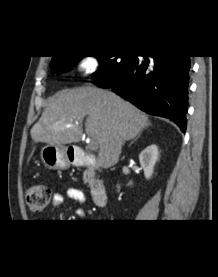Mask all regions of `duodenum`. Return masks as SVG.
<instances>
[{"instance_id": "duodenum-1", "label": "duodenum", "mask_w": 218, "mask_h": 277, "mask_svg": "<svg viewBox=\"0 0 218 277\" xmlns=\"http://www.w3.org/2000/svg\"><path fill=\"white\" fill-rule=\"evenodd\" d=\"M68 158L72 162V164H75L76 166L81 168L86 167L89 169H93L97 164L95 158L82 150H72V152L68 153ZM90 189L94 203L99 207L106 205L107 191L103 181L91 180Z\"/></svg>"}]
</instances>
